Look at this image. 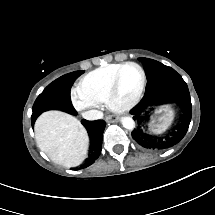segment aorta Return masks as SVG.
<instances>
[{
	"label": "aorta",
	"instance_id": "1",
	"mask_svg": "<svg viewBox=\"0 0 215 215\" xmlns=\"http://www.w3.org/2000/svg\"><path fill=\"white\" fill-rule=\"evenodd\" d=\"M121 123L124 128L132 130L135 127V122L131 117H122Z\"/></svg>",
	"mask_w": 215,
	"mask_h": 215
}]
</instances>
